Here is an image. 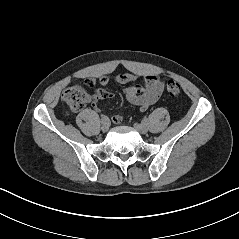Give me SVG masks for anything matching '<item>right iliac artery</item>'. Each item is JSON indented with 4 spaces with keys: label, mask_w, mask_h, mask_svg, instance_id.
<instances>
[{
    "label": "right iliac artery",
    "mask_w": 239,
    "mask_h": 239,
    "mask_svg": "<svg viewBox=\"0 0 239 239\" xmlns=\"http://www.w3.org/2000/svg\"><path fill=\"white\" fill-rule=\"evenodd\" d=\"M109 121V118L106 115H103L101 117V123H107Z\"/></svg>",
    "instance_id": "right-iliac-artery-1"
}]
</instances>
